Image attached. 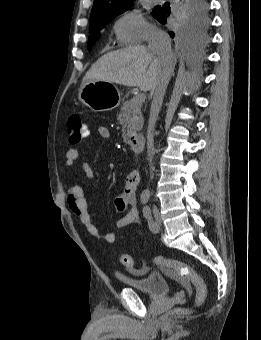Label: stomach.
Listing matches in <instances>:
<instances>
[{
  "instance_id": "1",
  "label": "stomach",
  "mask_w": 261,
  "mask_h": 340,
  "mask_svg": "<svg viewBox=\"0 0 261 340\" xmlns=\"http://www.w3.org/2000/svg\"><path fill=\"white\" fill-rule=\"evenodd\" d=\"M121 95L113 83L89 80L81 86L78 99L94 112H105L115 109L120 104Z\"/></svg>"
}]
</instances>
